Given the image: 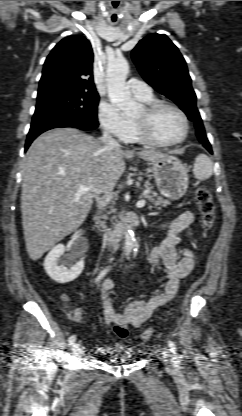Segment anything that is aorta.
I'll use <instances>...</instances> for the list:
<instances>
[{
    "instance_id": "aorta-1",
    "label": "aorta",
    "mask_w": 242,
    "mask_h": 416,
    "mask_svg": "<svg viewBox=\"0 0 242 416\" xmlns=\"http://www.w3.org/2000/svg\"><path fill=\"white\" fill-rule=\"evenodd\" d=\"M129 72V64L125 58H116L108 63L106 81L108 97L125 114L131 115L137 109L130 90L125 83ZM125 255L128 257L135 247L136 239L132 229L127 228L124 237Z\"/></svg>"
}]
</instances>
